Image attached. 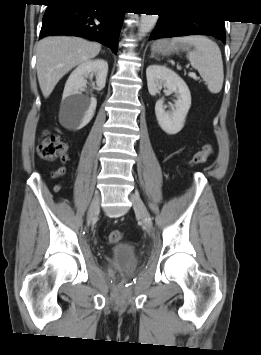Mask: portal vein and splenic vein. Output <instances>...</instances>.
<instances>
[{"label": "portal vein and splenic vein", "instance_id": "obj_1", "mask_svg": "<svg viewBox=\"0 0 261 355\" xmlns=\"http://www.w3.org/2000/svg\"><path fill=\"white\" fill-rule=\"evenodd\" d=\"M188 75H189L190 77L195 78V79H199V78L196 76V73H195V72H189Z\"/></svg>", "mask_w": 261, "mask_h": 355}]
</instances>
